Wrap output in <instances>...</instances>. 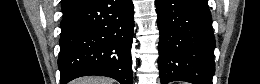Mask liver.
Listing matches in <instances>:
<instances>
[{
    "label": "liver",
    "instance_id": "6515ba94",
    "mask_svg": "<svg viewBox=\"0 0 260 84\" xmlns=\"http://www.w3.org/2000/svg\"><path fill=\"white\" fill-rule=\"evenodd\" d=\"M113 82L114 81L108 77L92 76L76 79L74 84H113Z\"/></svg>",
    "mask_w": 260,
    "mask_h": 84
}]
</instances>
